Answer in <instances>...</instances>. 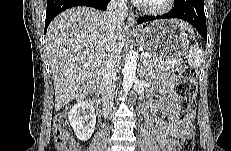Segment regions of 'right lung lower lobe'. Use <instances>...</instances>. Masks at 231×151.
Here are the masks:
<instances>
[{
  "label": "right lung lower lobe",
  "mask_w": 231,
  "mask_h": 151,
  "mask_svg": "<svg viewBox=\"0 0 231 151\" xmlns=\"http://www.w3.org/2000/svg\"><path fill=\"white\" fill-rule=\"evenodd\" d=\"M110 0H48L45 19V33L51 20L60 12L75 6H90L99 10H106Z\"/></svg>",
  "instance_id": "right-lung-lower-lobe-1"
}]
</instances>
